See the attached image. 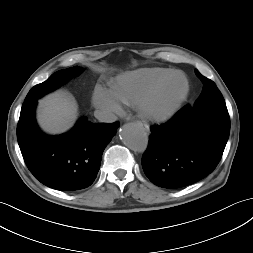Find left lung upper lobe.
<instances>
[{"label": "left lung upper lobe", "mask_w": 253, "mask_h": 253, "mask_svg": "<svg viewBox=\"0 0 253 253\" xmlns=\"http://www.w3.org/2000/svg\"><path fill=\"white\" fill-rule=\"evenodd\" d=\"M195 73L203 82V90L192 109H202L210 105H226L224 98L215 83L201 75L198 70H195Z\"/></svg>", "instance_id": "1"}]
</instances>
